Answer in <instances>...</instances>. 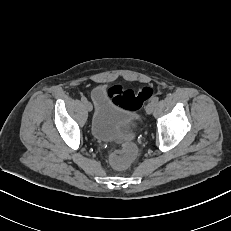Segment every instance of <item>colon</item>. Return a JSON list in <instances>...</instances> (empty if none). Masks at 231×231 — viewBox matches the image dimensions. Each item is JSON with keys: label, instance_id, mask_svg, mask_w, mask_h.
<instances>
[{"label": "colon", "instance_id": "obj_1", "mask_svg": "<svg viewBox=\"0 0 231 231\" xmlns=\"http://www.w3.org/2000/svg\"><path fill=\"white\" fill-rule=\"evenodd\" d=\"M108 93L113 101L119 106L128 110H138L153 96L154 89L150 86H144L134 91L116 84L108 89ZM135 154V147L132 144L127 143L110 154L109 162L116 169H124L134 159Z\"/></svg>", "mask_w": 231, "mask_h": 231}]
</instances>
